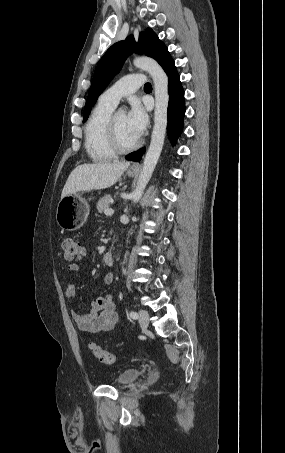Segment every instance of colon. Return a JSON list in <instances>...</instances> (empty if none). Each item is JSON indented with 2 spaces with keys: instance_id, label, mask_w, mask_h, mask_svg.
Listing matches in <instances>:
<instances>
[{
  "instance_id": "colon-1",
  "label": "colon",
  "mask_w": 285,
  "mask_h": 453,
  "mask_svg": "<svg viewBox=\"0 0 285 453\" xmlns=\"http://www.w3.org/2000/svg\"><path fill=\"white\" fill-rule=\"evenodd\" d=\"M62 250L64 258L67 261H73L79 256L81 247L75 239L65 238L62 241ZM90 350L92 351L94 357L104 364L112 365L117 361L115 355L94 343L90 344Z\"/></svg>"
}]
</instances>
